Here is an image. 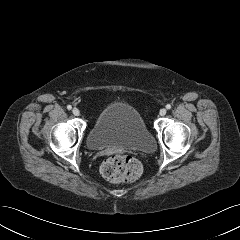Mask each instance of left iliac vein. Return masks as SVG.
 Here are the masks:
<instances>
[{
	"mask_svg": "<svg viewBox=\"0 0 240 240\" xmlns=\"http://www.w3.org/2000/svg\"><path fill=\"white\" fill-rule=\"evenodd\" d=\"M166 112H167L166 109L162 108V109H160L159 113L161 116H164L166 114Z\"/></svg>",
	"mask_w": 240,
	"mask_h": 240,
	"instance_id": "obj_1",
	"label": "left iliac vein"
}]
</instances>
